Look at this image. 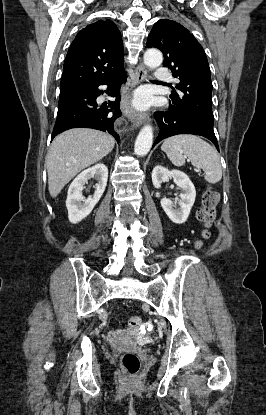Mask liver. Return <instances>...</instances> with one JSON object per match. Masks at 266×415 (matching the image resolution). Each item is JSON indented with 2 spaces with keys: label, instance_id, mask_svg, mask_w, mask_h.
I'll list each match as a JSON object with an SVG mask.
<instances>
[{
  "label": "liver",
  "instance_id": "liver-1",
  "mask_svg": "<svg viewBox=\"0 0 266 415\" xmlns=\"http://www.w3.org/2000/svg\"><path fill=\"white\" fill-rule=\"evenodd\" d=\"M114 145L111 135L93 129L76 128L58 135L46 157L50 195L56 197L72 178L108 155Z\"/></svg>",
  "mask_w": 266,
  "mask_h": 415
}]
</instances>
